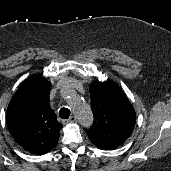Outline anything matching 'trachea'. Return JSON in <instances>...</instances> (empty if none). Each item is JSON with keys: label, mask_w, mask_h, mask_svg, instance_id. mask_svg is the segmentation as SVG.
I'll return each mask as SVG.
<instances>
[{"label": "trachea", "mask_w": 171, "mask_h": 171, "mask_svg": "<svg viewBox=\"0 0 171 171\" xmlns=\"http://www.w3.org/2000/svg\"><path fill=\"white\" fill-rule=\"evenodd\" d=\"M59 116L62 118V119H68L69 116H70V110L63 107L60 109L59 111Z\"/></svg>", "instance_id": "3493384b"}]
</instances>
